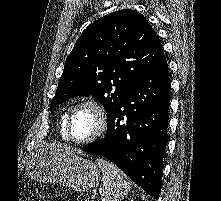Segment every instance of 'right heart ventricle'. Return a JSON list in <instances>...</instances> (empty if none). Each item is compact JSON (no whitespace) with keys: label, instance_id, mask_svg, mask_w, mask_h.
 Here are the masks:
<instances>
[{"label":"right heart ventricle","instance_id":"right-heart-ventricle-1","mask_svg":"<svg viewBox=\"0 0 221 201\" xmlns=\"http://www.w3.org/2000/svg\"><path fill=\"white\" fill-rule=\"evenodd\" d=\"M67 113L68 111H64L61 116H60V120H59V132H60V136L62 137V139L68 141L67 135H66V131H65V123H66V117H67Z\"/></svg>","mask_w":221,"mask_h":201}]
</instances>
